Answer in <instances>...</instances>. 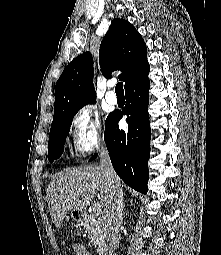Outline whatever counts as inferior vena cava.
I'll use <instances>...</instances> for the list:
<instances>
[{"mask_svg":"<svg viewBox=\"0 0 221 255\" xmlns=\"http://www.w3.org/2000/svg\"><path fill=\"white\" fill-rule=\"evenodd\" d=\"M100 168L105 179L112 184L110 200L104 210V232L111 250H115L121 239V226L123 222V191L116 183L117 175L112 167L109 154L105 147L99 151Z\"/></svg>","mask_w":221,"mask_h":255,"instance_id":"inferior-vena-cava-1","label":"inferior vena cava"}]
</instances>
